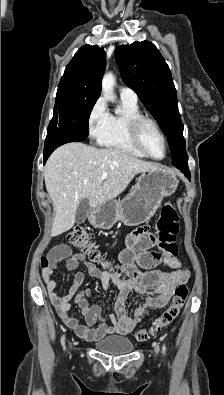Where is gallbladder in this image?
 Masks as SVG:
<instances>
[{"instance_id":"obj_1","label":"gallbladder","mask_w":224,"mask_h":395,"mask_svg":"<svg viewBox=\"0 0 224 395\" xmlns=\"http://www.w3.org/2000/svg\"><path fill=\"white\" fill-rule=\"evenodd\" d=\"M90 211V204L88 199H82L77 206L75 214V222L77 224H82L86 221Z\"/></svg>"}]
</instances>
